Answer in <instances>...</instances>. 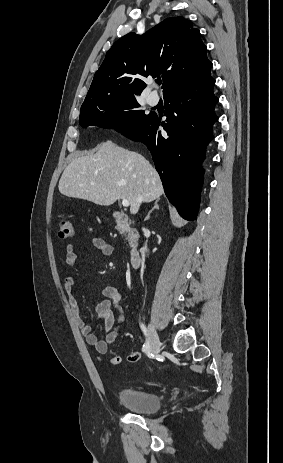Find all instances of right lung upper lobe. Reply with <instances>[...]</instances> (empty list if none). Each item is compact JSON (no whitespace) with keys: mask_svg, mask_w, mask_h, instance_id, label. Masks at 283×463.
<instances>
[{"mask_svg":"<svg viewBox=\"0 0 283 463\" xmlns=\"http://www.w3.org/2000/svg\"><path fill=\"white\" fill-rule=\"evenodd\" d=\"M198 29L184 17H170L143 35L117 40L98 71L83 102L110 97H135L146 87L144 77L162 76L163 95L210 76L212 63Z\"/></svg>","mask_w":283,"mask_h":463,"instance_id":"obj_1","label":"right lung upper lobe"}]
</instances>
